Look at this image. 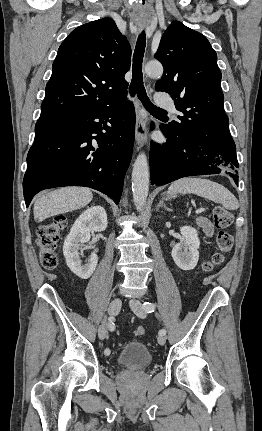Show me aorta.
Returning a JSON list of instances; mask_svg holds the SVG:
<instances>
[{
    "label": "aorta",
    "instance_id": "1",
    "mask_svg": "<svg viewBox=\"0 0 262 431\" xmlns=\"http://www.w3.org/2000/svg\"><path fill=\"white\" fill-rule=\"evenodd\" d=\"M145 73L151 77L163 74V67L159 62H149L145 66ZM149 191V166L145 153H140L132 170V193L135 207L142 211L147 200Z\"/></svg>",
    "mask_w": 262,
    "mask_h": 431
}]
</instances>
